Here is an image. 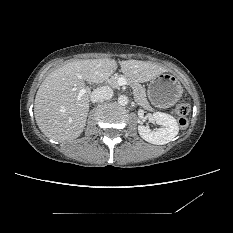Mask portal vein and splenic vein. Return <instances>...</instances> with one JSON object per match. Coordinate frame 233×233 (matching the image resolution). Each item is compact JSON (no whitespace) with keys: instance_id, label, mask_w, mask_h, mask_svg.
Masks as SVG:
<instances>
[{"instance_id":"18ae733b","label":"portal vein and splenic vein","mask_w":233,"mask_h":233,"mask_svg":"<svg viewBox=\"0 0 233 233\" xmlns=\"http://www.w3.org/2000/svg\"><path fill=\"white\" fill-rule=\"evenodd\" d=\"M118 84L120 86H122V85H128V82H127V80L124 77H121V78L118 79ZM85 92H86L85 89L80 90L78 98H80Z\"/></svg>"}]
</instances>
